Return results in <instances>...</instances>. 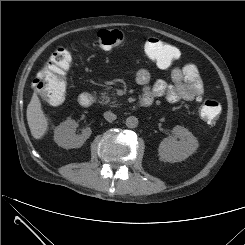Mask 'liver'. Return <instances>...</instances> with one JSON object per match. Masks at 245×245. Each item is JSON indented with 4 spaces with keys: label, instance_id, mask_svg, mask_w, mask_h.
<instances>
[{
    "label": "liver",
    "instance_id": "liver-1",
    "mask_svg": "<svg viewBox=\"0 0 245 245\" xmlns=\"http://www.w3.org/2000/svg\"><path fill=\"white\" fill-rule=\"evenodd\" d=\"M27 122L32 136L41 139L48 130V119L46 118L37 92L34 91L31 101L27 106Z\"/></svg>",
    "mask_w": 245,
    "mask_h": 245
}]
</instances>
